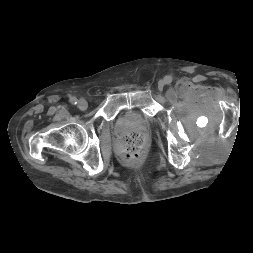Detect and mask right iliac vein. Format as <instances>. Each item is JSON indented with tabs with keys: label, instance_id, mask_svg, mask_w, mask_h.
<instances>
[{
	"label": "right iliac vein",
	"instance_id": "obj_1",
	"mask_svg": "<svg viewBox=\"0 0 253 253\" xmlns=\"http://www.w3.org/2000/svg\"><path fill=\"white\" fill-rule=\"evenodd\" d=\"M78 107L80 110L84 111L88 108V103L85 99H80L78 101Z\"/></svg>",
	"mask_w": 253,
	"mask_h": 253
}]
</instances>
